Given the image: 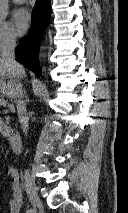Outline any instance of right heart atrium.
Listing matches in <instances>:
<instances>
[{
    "instance_id": "d8ad5b80",
    "label": "right heart atrium",
    "mask_w": 128,
    "mask_h": 213,
    "mask_svg": "<svg viewBox=\"0 0 128 213\" xmlns=\"http://www.w3.org/2000/svg\"><path fill=\"white\" fill-rule=\"evenodd\" d=\"M16 40L13 30L5 22H0V51L14 46Z\"/></svg>"
}]
</instances>
